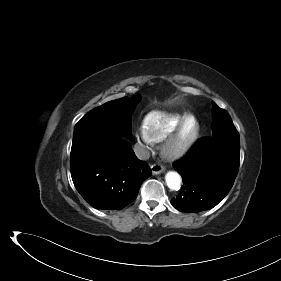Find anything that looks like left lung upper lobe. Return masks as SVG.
<instances>
[{"label":"left lung upper lobe","instance_id":"1","mask_svg":"<svg viewBox=\"0 0 281 281\" xmlns=\"http://www.w3.org/2000/svg\"><path fill=\"white\" fill-rule=\"evenodd\" d=\"M213 106V135L212 137L218 139H230L238 134L236 128L233 125L230 115L220 107H218L214 102Z\"/></svg>","mask_w":281,"mask_h":281}]
</instances>
